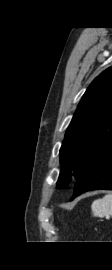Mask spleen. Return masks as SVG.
<instances>
[{"instance_id":"1","label":"spleen","mask_w":112,"mask_h":270,"mask_svg":"<svg viewBox=\"0 0 112 270\" xmlns=\"http://www.w3.org/2000/svg\"><path fill=\"white\" fill-rule=\"evenodd\" d=\"M91 210L96 217L112 216V194L95 200L91 205Z\"/></svg>"}]
</instances>
